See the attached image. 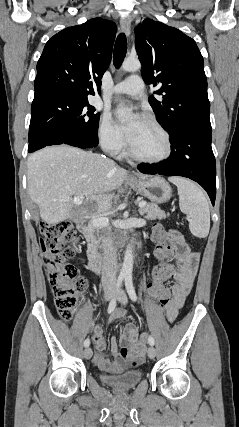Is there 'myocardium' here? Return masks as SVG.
Returning a JSON list of instances; mask_svg holds the SVG:
<instances>
[{
    "mask_svg": "<svg viewBox=\"0 0 239 427\" xmlns=\"http://www.w3.org/2000/svg\"><path fill=\"white\" fill-rule=\"evenodd\" d=\"M143 119L146 120L147 122H149L151 125H153L164 136L165 142H166V150L162 156H160L158 158L151 159V158H146V157H142V156L138 155L132 149L130 143H128L127 144V153L129 155V157H131L133 160L138 161L140 163L149 164V165L160 164V163L166 161L167 159H169L170 156L172 155L173 142H172L171 135L168 132V130L160 122H158L154 117H152L150 115H145Z\"/></svg>",
    "mask_w": 239,
    "mask_h": 427,
    "instance_id": "1",
    "label": "myocardium"
}]
</instances>
